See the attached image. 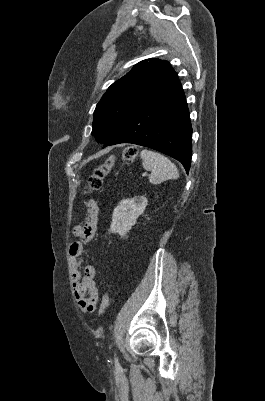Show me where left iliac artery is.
<instances>
[{
  "label": "left iliac artery",
  "instance_id": "1",
  "mask_svg": "<svg viewBox=\"0 0 265 401\" xmlns=\"http://www.w3.org/2000/svg\"><path fill=\"white\" fill-rule=\"evenodd\" d=\"M114 356H115V358H114L115 359V367H116V369H119L121 366L119 364L118 358H117L116 354Z\"/></svg>",
  "mask_w": 265,
  "mask_h": 401
}]
</instances>
